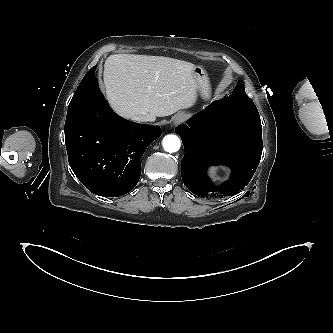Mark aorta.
<instances>
[{"label": "aorta", "mask_w": 333, "mask_h": 333, "mask_svg": "<svg viewBox=\"0 0 333 333\" xmlns=\"http://www.w3.org/2000/svg\"><path fill=\"white\" fill-rule=\"evenodd\" d=\"M180 146V139L176 135H167L163 139V148L167 152H177L180 149Z\"/></svg>", "instance_id": "762f6f07"}]
</instances>
